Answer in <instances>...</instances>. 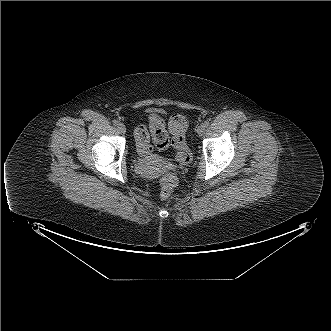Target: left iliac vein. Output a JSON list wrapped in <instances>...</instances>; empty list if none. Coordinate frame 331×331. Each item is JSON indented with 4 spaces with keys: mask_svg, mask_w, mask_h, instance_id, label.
Instances as JSON below:
<instances>
[{
    "mask_svg": "<svg viewBox=\"0 0 331 331\" xmlns=\"http://www.w3.org/2000/svg\"><path fill=\"white\" fill-rule=\"evenodd\" d=\"M205 133V126L204 124H201L198 128H197V134L199 136H203Z\"/></svg>",
    "mask_w": 331,
    "mask_h": 331,
    "instance_id": "left-iliac-vein-1",
    "label": "left iliac vein"
}]
</instances>
